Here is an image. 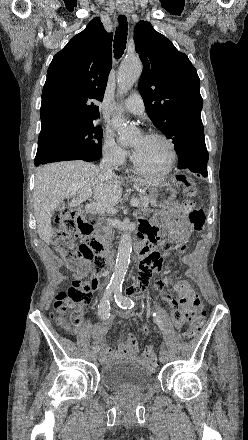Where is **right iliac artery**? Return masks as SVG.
I'll use <instances>...</instances> for the list:
<instances>
[{
	"label": "right iliac artery",
	"instance_id": "right-iliac-artery-1",
	"mask_svg": "<svg viewBox=\"0 0 248 440\" xmlns=\"http://www.w3.org/2000/svg\"><path fill=\"white\" fill-rule=\"evenodd\" d=\"M114 291L113 287H107L106 291L103 294L102 299L100 300V303L98 305V313L101 317V319L105 320L108 319L110 316V302H109V298L112 294V292ZM93 350L95 352L99 351V346L94 345L93 346Z\"/></svg>",
	"mask_w": 248,
	"mask_h": 440
}]
</instances>
